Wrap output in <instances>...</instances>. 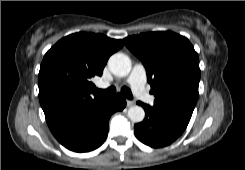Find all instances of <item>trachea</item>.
I'll list each match as a JSON object with an SVG mask.
<instances>
[{"label": "trachea", "mask_w": 245, "mask_h": 170, "mask_svg": "<svg viewBox=\"0 0 245 170\" xmlns=\"http://www.w3.org/2000/svg\"><path fill=\"white\" fill-rule=\"evenodd\" d=\"M96 90H97V92L104 94V95H112V94L116 93V88L114 86H111L105 90H103V89H96ZM121 92L127 99H130V100L133 99V95H132L131 90L129 88L124 86L121 88Z\"/></svg>", "instance_id": "1"}]
</instances>
